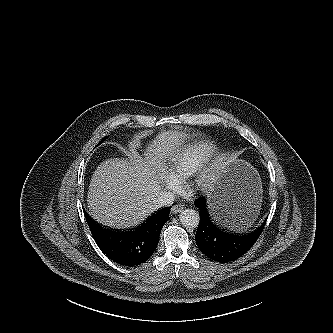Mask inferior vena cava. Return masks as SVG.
Returning <instances> with one entry per match:
<instances>
[{
    "label": "inferior vena cava",
    "mask_w": 333,
    "mask_h": 333,
    "mask_svg": "<svg viewBox=\"0 0 333 333\" xmlns=\"http://www.w3.org/2000/svg\"><path fill=\"white\" fill-rule=\"evenodd\" d=\"M175 196L170 191H160L153 199V204L156 208L171 206L174 202Z\"/></svg>",
    "instance_id": "obj_1"
}]
</instances>
